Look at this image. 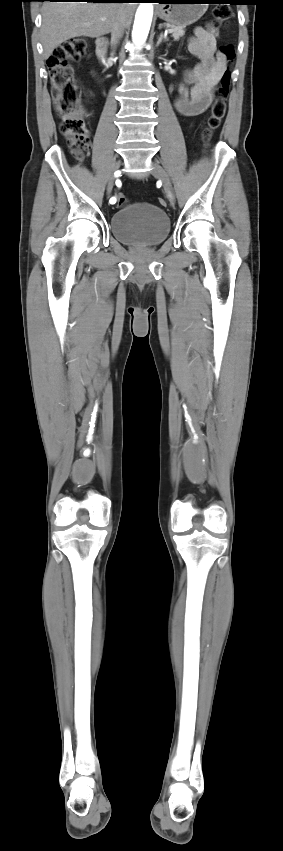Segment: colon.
Segmentation results:
<instances>
[{
  "label": "colon",
  "instance_id": "5ec220e1",
  "mask_svg": "<svg viewBox=\"0 0 283 851\" xmlns=\"http://www.w3.org/2000/svg\"><path fill=\"white\" fill-rule=\"evenodd\" d=\"M215 23L218 27H225L232 17L229 6H217L213 11ZM88 43L83 37L71 38L59 45L52 56L47 60L53 95L56 102V111L61 120L60 131L62 135L76 148L73 155L80 161L90 149V138L80 107V94L74 79L72 62L79 61L87 53ZM221 53L227 61L235 57L234 47L231 44L221 46ZM230 90V72L225 71L221 77L220 84L215 91L211 113L208 118L207 127L203 132L204 141H209L213 132L219 128L226 114L227 99ZM128 200L123 195L117 196V205H126ZM161 206L166 205L162 198L158 199Z\"/></svg>",
  "mask_w": 283,
  "mask_h": 851
}]
</instances>
